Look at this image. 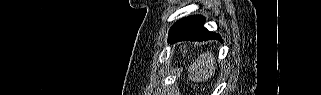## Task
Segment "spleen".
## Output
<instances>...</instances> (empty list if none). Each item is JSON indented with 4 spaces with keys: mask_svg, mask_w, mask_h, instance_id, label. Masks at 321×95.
Returning a JSON list of instances; mask_svg holds the SVG:
<instances>
[{
    "mask_svg": "<svg viewBox=\"0 0 321 95\" xmlns=\"http://www.w3.org/2000/svg\"><path fill=\"white\" fill-rule=\"evenodd\" d=\"M215 57L212 52L201 55L190 68V78L194 82H205L214 76L216 66Z\"/></svg>",
    "mask_w": 321,
    "mask_h": 95,
    "instance_id": "3e777b00",
    "label": "spleen"
}]
</instances>
